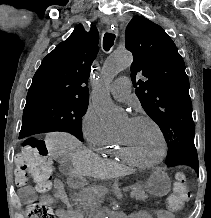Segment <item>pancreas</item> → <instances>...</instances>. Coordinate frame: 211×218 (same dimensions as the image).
I'll list each match as a JSON object with an SVG mask.
<instances>
[{
	"label": "pancreas",
	"mask_w": 211,
	"mask_h": 218,
	"mask_svg": "<svg viewBox=\"0 0 211 218\" xmlns=\"http://www.w3.org/2000/svg\"><path fill=\"white\" fill-rule=\"evenodd\" d=\"M89 190H82L81 194H76L77 198L73 200L75 206H80L83 212H86L89 218L93 216V205H100L101 201L104 200L108 191V186H89ZM131 198H136V200H147L148 196L142 190L139 184L131 186L130 192Z\"/></svg>",
	"instance_id": "obj_1"
}]
</instances>
